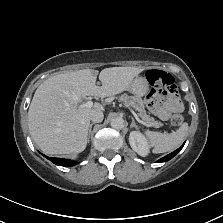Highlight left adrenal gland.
<instances>
[{"label": "left adrenal gland", "mask_w": 223, "mask_h": 223, "mask_svg": "<svg viewBox=\"0 0 223 223\" xmlns=\"http://www.w3.org/2000/svg\"><path fill=\"white\" fill-rule=\"evenodd\" d=\"M131 119H132V121L130 123V127L136 126L138 128L139 125L136 123V121L134 120V117L133 116H131Z\"/></svg>", "instance_id": "1"}]
</instances>
